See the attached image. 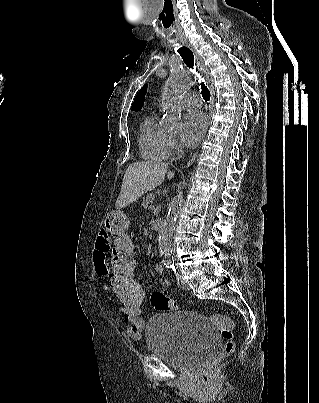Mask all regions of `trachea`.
I'll return each instance as SVG.
<instances>
[{"label": "trachea", "mask_w": 319, "mask_h": 403, "mask_svg": "<svg viewBox=\"0 0 319 403\" xmlns=\"http://www.w3.org/2000/svg\"><path fill=\"white\" fill-rule=\"evenodd\" d=\"M171 21L169 22H163L164 28L169 30ZM178 53L180 54V56L182 57L183 61L185 62V64L189 67L193 69L194 66V55L193 52L188 49L187 47H181L178 49ZM201 94L202 97L205 101H209L210 100V92L207 88V86L204 84V82H201Z\"/></svg>", "instance_id": "3493384b"}]
</instances>
